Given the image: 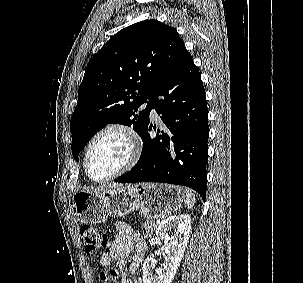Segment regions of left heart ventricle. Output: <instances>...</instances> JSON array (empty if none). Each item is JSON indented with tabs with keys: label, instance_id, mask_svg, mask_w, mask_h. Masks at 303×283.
I'll use <instances>...</instances> for the list:
<instances>
[{
	"label": "left heart ventricle",
	"instance_id": "1",
	"mask_svg": "<svg viewBox=\"0 0 303 283\" xmlns=\"http://www.w3.org/2000/svg\"><path fill=\"white\" fill-rule=\"evenodd\" d=\"M130 144L119 132H108L93 144L88 156V170L96 179L105 178L120 167L129 158Z\"/></svg>",
	"mask_w": 303,
	"mask_h": 283
}]
</instances>
